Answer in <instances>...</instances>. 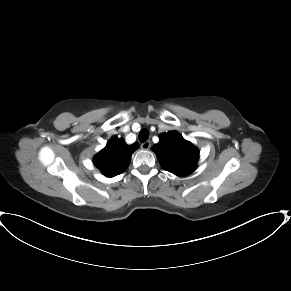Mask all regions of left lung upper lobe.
I'll return each instance as SVG.
<instances>
[{
    "label": "left lung upper lobe",
    "instance_id": "1",
    "mask_svg": "<svg viewBox=\"0 0 291 291\" xmlns=\"http://www.w3.org/2000/svg\"><path fill=\"white\" fill-rule=\"evenodd\" d=\"M159 143L152 150L162 168L177 175L186 176L196 167L199 151L176 131L162 133Z\"/></svg>",
    "mask_w": 291,
    "mask_h": 291
}]
</instances>
